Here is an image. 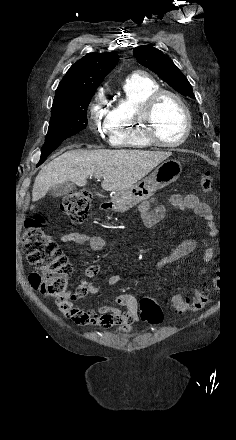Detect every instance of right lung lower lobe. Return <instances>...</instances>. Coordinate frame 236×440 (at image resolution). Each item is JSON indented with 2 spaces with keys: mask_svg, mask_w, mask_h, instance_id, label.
I'll use <instances>...</instances> for the list:
<instances>
[{
  "mask_svg": "<svg viewBox=\"0 0 236 440\" xmlns=\"http://www.w3.org/2000/svg\"><path fill=\"white\" fill-rule=\"evenodd\" d=\"M60 144H56V145H51V146H47V147H42L41 149V158L39 163L37 164V166L41 165L45 160L46 157L53 152Z\"/></svg>",
  "mask_w": 236,
  "mask_h": 440,
  "instance_id": "right-lung-lower-lobe-1",
  "label": "right lung lower lobe"
}]
</instances>
